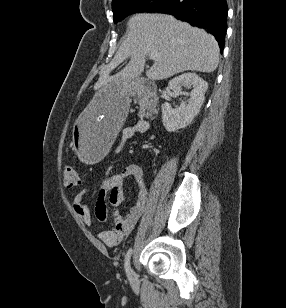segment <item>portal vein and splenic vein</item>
<instances>
[{
	"mask_svg": "<svg viewBox=\"0 0 286 308\" xmlns=\"http://www.w3.org/2000/svg\"><path fill=\"white\" fill-rule=\"evenodd\" d=\"M149 58L151 60H158V59H161V56L158 53V51H152V52L149 53Z\"/></svg>",
	"mask_w": 286,
	"mask_h": 308,
	"instance_id": "portal-vein-and-splenic-vein-1",
	"label": "portal vein and splenic vein"
}]
</instances>
